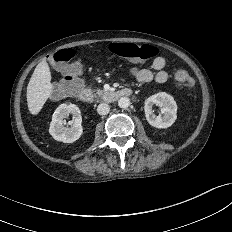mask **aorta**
Here are the masks:
<instances>
[{
  "mask_svg": "<svg viewBox=\"0 0 232 232\" xmlns=\"http://www.w3.org/2000/svg\"><path fill=\"white\" fill-rule=\"evenodd\" d=\"M130 105V99L127 98V97H121L119 100H118V106L120 108H128Z\"/></svg>",
  "mask_w": 232,
  "mask_h": 232,
  "instance_id": "1",
  "label": "aorta"
}]
</instances>
